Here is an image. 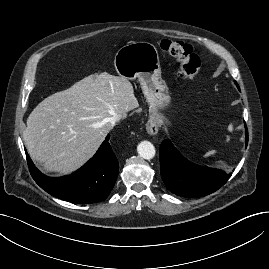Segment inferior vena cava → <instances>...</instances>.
<instances>
[{
  "label": "inferior vena cava",
  "mask_w": 269,
  "mask_h": 269,
  "mask_svg": "<svg viewBox=\"0 0 269 269\" xmlns=\"http://www.w3.org/2000/svg\"><path fill=\"white\" fill-rule=\"evenodd\" d=\"M122 119V115L120 114H117V115H114L112 117L109 118V122L112 124V125H115L116 122L120 121Z\"/></svg>",
  "instance_id": "602c4592"
}]
</instances>
